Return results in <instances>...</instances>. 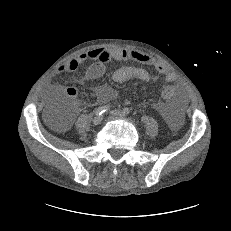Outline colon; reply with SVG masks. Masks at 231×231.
<instances>
[{
  "label": "colon",
  "mask_w": 231,
  "mask_h": 231,
  "mask_svg": "<svg viewBox=\"0 0 231 231\" xmlns=\"http://www.w3.org/2000/svg\"><path fill=\"white\" fill-rule=\"evenodd\" d=\"M68 95L69 96L74 95V93L72 91H69ZM162 96L168 102L176 101L180 96V91L178 89V86L172 82L166 83L162 89ZM49 113H50V117L53 120L57 118L64 119L65 122L69 120V114L65 110H55L54 108L51 107Z\"/></svg>",
  "instance_id": "colon-1"
}]
</instances>
